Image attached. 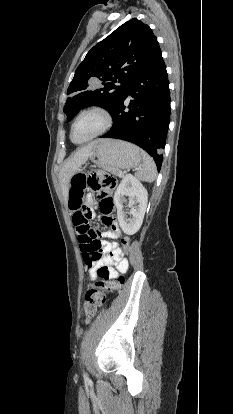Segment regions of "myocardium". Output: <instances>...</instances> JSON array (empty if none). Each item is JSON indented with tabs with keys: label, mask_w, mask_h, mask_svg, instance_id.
Instances as JSON below:
<instances>
[{
	"label": "myocardium",
	"mask_w": 233,
	"mask_h": 414,
	"mask_svg": "<svg viewBox=\"0 0 233 414\" xmlns=\"http://www.w3.org/2000/svg\"><path fill=\"white\" fill-rule=\"evenodd\" d=\"M87 114H96V115H98L100 117L101 121H102L101 127L96 132H94L92 135H90L89 137H87V138H85L81 141H76L73 138L74 128H75L77 122L80 120V118L83 117L84 115H87ZM112 125H113V117H112L111 113L108 110H106L105 108L100 107V106L87 107V108L82 109L74 117V119L71 123V126H70V139L73 143L84 144V143L92 141V140L106 134L111 129Z\"/></svg>",
	"instance_id": "f54148a6"
}]
</instances>
